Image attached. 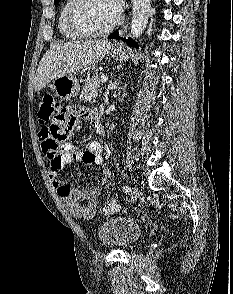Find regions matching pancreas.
Returning <instances> with one entry per match:
<instances>
[{
    "label": "pancreas",
    "instance_id": "pancreas-1",
    "mask_svg": "<svg viewBox=\"0 0 233 294\" xmlns=\"http://www.w3.org/2000/svg\"><path fill=\"white\" fill-rule=\"evenodd\" d=\"M103 74H95L91 79H89L81 92L80 99L85 101H90L101 94L100 84Z\"/></svg>",
    "mask_w": 233,
    "mask_h": 294
}]
</instances>
